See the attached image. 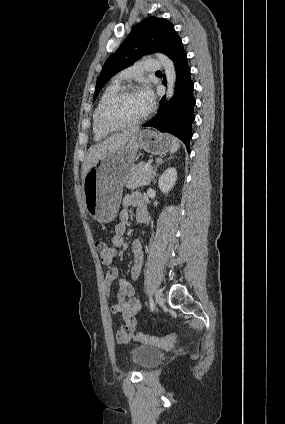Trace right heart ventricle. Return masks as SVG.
Here are the masks:
<instances>
[{
    "label": "right heart ventricle",
    "instance_id": "e07e8e85",
    "mask_svg": "<svg viewBox=\"0 0 285 424\" xmlns=\"http://www.w3.org/2000/svg\"><path fill=\"white\" fill-rule=\"evenodd\" d=\"M120 88H121L120 82H117L116 80H114L112 83H110L107 86V88L104 90V92L102 93V95L99 98V101H98L97 106H96L94 113H93V134H94V137H95L96 140L103 139V138L107 137L110 133H112V131H104V130L99 128V126L97 124V116H98V112H99L101 106L104 104V102L110 96H112L114 93L119 91Z\"/></svg>",
    "mask_w": 285,
    "mask_h": 424
}]
</instances>
